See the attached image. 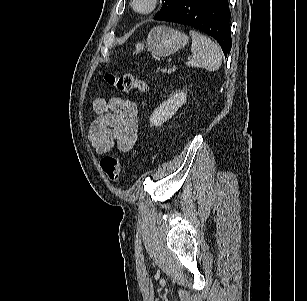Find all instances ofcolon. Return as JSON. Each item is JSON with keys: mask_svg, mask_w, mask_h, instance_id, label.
Instances as JSON below:
<instances>
[{"mask_svg": "<svg viewBox=\"0 0 307 301\" xmlns=\"http://www.w3.org/2000/svg\"><path fill=\"white\" fill-rule=\"evenodd\" d=\"M105 81L112 87L122 91H138L145 92L147 90V84L145 81L136 78L131 73L115 74L104 73ZM101 168L107 174V176L116 181L121 172V160L114 156H106L102 158L100 162Z\"/></svg>", "mask_w": 307, "mask_h": 301, "instance_id": "1", "label": "colon"}]
</instances>
